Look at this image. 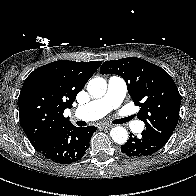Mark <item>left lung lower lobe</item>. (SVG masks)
I'll return each mask as SVG.
<instances>
[{
  "label": "left lung lower lobe",
  "instance_id": "obj_1",
  "mask_svg": "<svg viewBox=\"0 0 196 196\" xmlns=\"http://www.w3.org/2000/svg\"><path fill=\"white\" fill-rule=\"evenodd\" d=\"M164 145L154 136L143 131L140 137H135L130 133L129 140L121 146V151L129 157L139 158L152 155Z\"/></svg>",
  "mask_w": 196,
  "mask_h": 196
}]
</instances>
